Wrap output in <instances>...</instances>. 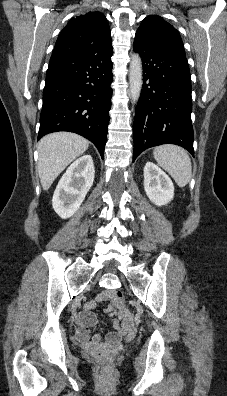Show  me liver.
Returning <instances> with one entry per match:
<instances>
[{
	"mask_svg": "<svg viewBox=\"0 0 227 396\" xmlns=\"http://www.w3.org/2000/svg\"><path fill=\"white\" fill-rule=\"evenodd\" d=\"M89 141L70 132L44 136L38 144L37 171L41 185L48 190L58 175L88 148Z\"/></svg>",
	"mask_w": 227,
	"mask_h": 396,
	"instance_id": "obj_1",
	"label": "liver"
}]
</instances>
